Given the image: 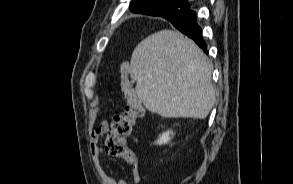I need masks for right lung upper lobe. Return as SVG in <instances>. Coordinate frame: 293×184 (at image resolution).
Here are the masks:
<instances>
[{"label": "right lung upper lobe", "instance_id": "cb5924a9", "mask_svg": "<svg viewBox=\"0 0 293 184\" xmlns=\"http://www.w3.org/2000/svg\"><path fill=\"white\" fill-rule=\"evenodd\" d=\"M186 0H133L130 10L135 13L169 18L182 9L189 8Z\"/></svg>", "mask_w": 293, "mask_h": 184}]
</instances>
